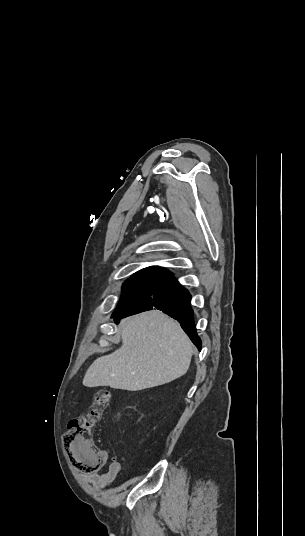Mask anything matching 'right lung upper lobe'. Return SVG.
<instances>
[{"instance_id": "obj_1", "label": "right lung upper lobe", "mask_w": 305, "mask_h": 536, "mask_svg": "<svg viewBox=\"0 0 305 536\" xmlns=\"http://www.w3.org/2000/svg\"><path fill=\"white\" fill-rule=\"evenodd\" d=\"M171 276L172 274L168 270L158 267V266H152V267L142 269L132 275V277H136V278H163V279H166Z\"/></svg>"}]
</instances>
